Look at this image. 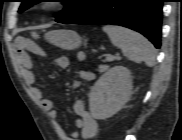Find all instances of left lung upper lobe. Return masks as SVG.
<instances>
[{"label":"left lung upper lobe","instance_id":"1","mask_svg":"<svg viewBox=\"0 0 182 140\" xmlns=\"http://www.w3.org/2000/svg\"><path fill=\"white\" fill-rule=\"evenodd\" d=\"M43 0H21L18 12H23L32 5ZM62 2L64 9L56 17L59 23L70 24L91 12L102 0H57Z\"/></svg>","mask_w":182,"mask_h":140}]
</instances>
